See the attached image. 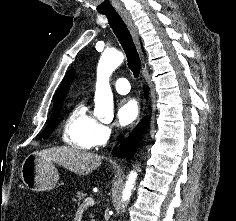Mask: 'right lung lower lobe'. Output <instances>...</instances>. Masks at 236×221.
Wrapping results in <instances>:
<instances>
[{
    "mask_svg": "<svg viewBox=\"0 0 236 221\" xmlns=\"http://www.w3.org/2000/svg\"><path fill=\"white\" fill-rule=\"evenodd\" d=\"M145 95H147L146 90H145ZM142 130H143V125L140 124L139 126H137L134 132L126 139V141L122 145V148L115 150L113 154L117 156L118 154H120L122 150V153H121L122 156L127 157V158L133 156L139 145Z\"/></svg>",
    "mask_w": 236,
    "mask_h": 221,
    "instance_id": "right-lung-lower-lobe-1",
    "label": "right lung lower lobe"
}]
</instances>
